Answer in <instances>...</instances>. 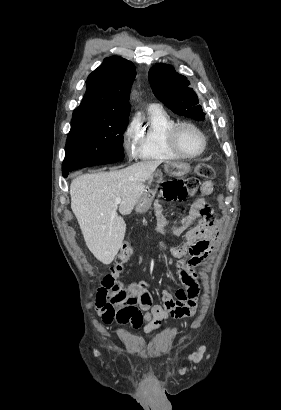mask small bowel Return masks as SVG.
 Wrapping results in <instances>:
<instances>
[{"label": "small bowel", "mask_w": 281, "mask_h": 410, "mask_svg": "<svg viewBox=\"0 0 281 410\" xmlns=\"http://www.w3.org/2000/svg\"><path fill=\"white\" fill-rule=\"evenodd\" d=\"M212 192L209 181L201 184L200 195L192 203L189 213L178 222L170 223L160 203L155 205L157 228L171 237L183 235L181 244L166 245L160 243L158 248L169 252L178 259L176 273L184 288L176 291L173 296L169 291L163 290L161 300L163 305H153L149 284L145 280L129 286H124L120 277L124 272V264L110 267L109 272L103 277L101 287L96 297V311L104 318L109 312L123 311L133 323L134 317L128 314L129 310H136L139 315V326L143 320L146 333L156 329L160 323L169 317H187L194 314L184 312L191 301H197L198 284L196 268L207 258L217 242L218 228L213 212L206 204V197Z\"/></svg>", "instance_id": "small-bowel-1"}]
</instances>
